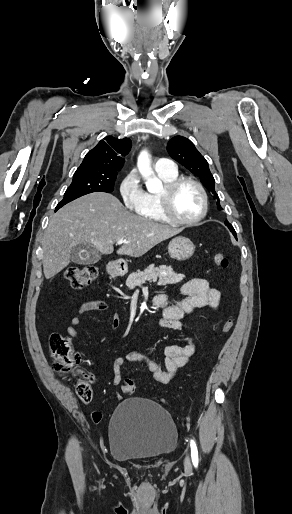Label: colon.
<instances>
[{"label": "colon", "mask_w": 292, "mask_h": 514, "mask_svg": "<svg viewBox=\"0 0 292 514\" xmlns=\"http://www.w3.org/2000/svg\"><path fill=\"white\" fill-rule=\"evenodd\" d=\"M214 264L220 268H227L229 261L224 253L218 252L213 257ZM99 270L95 266L72 267L66 272V279L69 288L78 290L90 285L97 280ZM234 325L232 319H228L221 327L223 334L228 333ZM49 348L53 359L52 365L54 371L62 376H69L81 361L80 353L71 346L70 338L61 334H52L49 339ZM136 389L133 380H125L121 384L120 391L123 395L131 396ZM76 393L81 402L88 404L92 401L93 390L86 378L79 380L76 384ZM91 419L97 422L101 419L100 411H93Z\"/></svg>", "instance_id": "1"}]
</instances>
